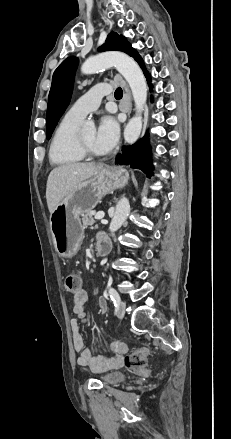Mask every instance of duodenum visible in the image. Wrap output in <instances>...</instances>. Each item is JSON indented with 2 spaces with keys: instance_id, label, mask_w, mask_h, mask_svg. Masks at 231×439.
Returning a JSON list of instances; mask_svg holds the SVG:
<instances>
[{
  "instance_id": "obj_1",
  "label": "duodenum",
  "mask_w": 231,
  "mask_h": 439,
  "mask_svg": "<svg viewBox=\"0 0 231 439\" xmlns=\"http://www.w3.org/2000/svg\"><path fill=\"white\" fill-rule=\"evenodd\" d=\"M96 251L99 256H105L111 251V242L107 237H102L97 241Z\"/></svg>"
}]
</instances>
